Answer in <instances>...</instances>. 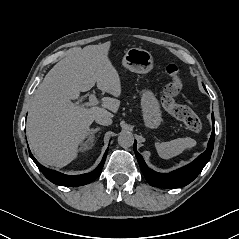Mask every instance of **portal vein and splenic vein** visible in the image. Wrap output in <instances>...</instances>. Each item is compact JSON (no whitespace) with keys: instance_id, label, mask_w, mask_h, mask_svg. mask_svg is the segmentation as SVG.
<instances>
[{"instance_id":"portal-vein-and-splenic-vein-1","label":"portal vein and splenic vein","mask_w":239,"mask_h":239,"mask_svg":"<svg viewBox=\"0 0 239 239\" xmlns=\"http://www.w3.org/2000/svg\"><path fill=\"white\" fill-rule=\"evenodd\" d=\"M98 103H99V101L97 100L96 95L95 94H91L89 96V102L80 103V101H77L74 104L76 106H79V107H91V106L97 105Z\"/></svg>"}]
</instances>
